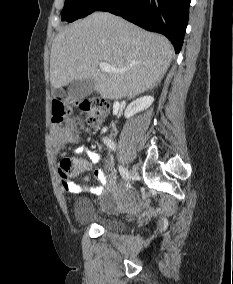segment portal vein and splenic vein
Segmentation results:
<instances>
[{
  "label": "portal vein and splenic vein",
  "mask_w": 233,
  "mask_h": 284,
  "mask_svg": "<svg viewBox=\"0 0 233 284\" xmlns=\"http://www.w3.org/2000/svg\"><path fill=\"white\" fill-rule=\"evenodd\" d=\"M99 67H100L101 71H104V72H123V71H125V70H116L115 68L111 67V65H109L106 62H101L99 64Z\"/></svg>",
  "instance_id": "1"
}]
</instances>
